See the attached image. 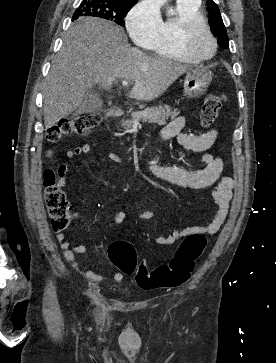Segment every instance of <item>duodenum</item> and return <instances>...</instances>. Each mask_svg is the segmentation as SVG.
<instances>
[{
  "mask_svg": "<svg viewBox=\"0 0 276 363\" xmlns=\"http://www.w3.org/2000/svg\"><path fill=\"white\" fill-rule=\"evenodd\" d=\"M107 116L110 118H115V117H119L122 115V111L117 108V107H110L107 112H106Z\"/></svg>",
  "mask_w": 276,
  "mask_h": 363,
  "instance_id": "obj_1",
  "label": "duodenum"
}]
</instances>
